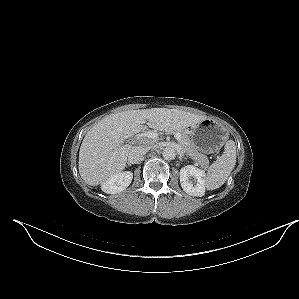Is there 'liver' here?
Here are the masks:
<instances>
[{"label":"liver","mask_w":299,"mask_h":299,"mask_svg":"<svg viewBox=\"0 0 299 299\" xmlns=\"http://www.w3.org/2000/svg\"><path fill=\"white\" fill-rule=\"evenodd\" d=\"M206 117L166 108L128 110L101 119L85 135L79 151V173L91 186L105 182L126 166L132 148L125 139L147 125L159 131H178L199 124Z\"/></svg>","instance_id":"obj_1"}]
</instances>
